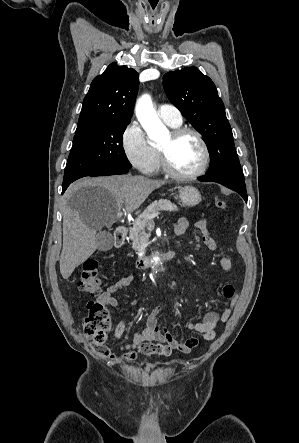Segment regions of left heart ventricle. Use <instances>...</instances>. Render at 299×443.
Wrapping results in <instances>:
<instances>
[{
  "label": "left heart ventricle",
  "instance_id": "left-heart-ventricle-1",
  "mask_svg": "<svg viewBox=\"0 0 299 443\" xmlns=\"http://www.w3.org/2000/svg\"><path fill=\"white\" fill-rule=\"evenodd\" d=\"M160 146L168 149L170 163L178 172H193L201 163V146L192 134H185L175 141H171L168 135Z\"/></svg>",
  "mask_w": 299,
  "mask_h": 443
}]
</instances>
